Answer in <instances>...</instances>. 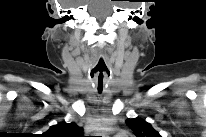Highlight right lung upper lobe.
<instances>
[{
    "instance_id": "obj_1",
    "label": "right lung upper lobe",
    "mask_w": 206,
    "mask_h": 137,
    "mask_svg": "<svg viewBox=\"0 0 206 137\" xmlns=\"http://www.w3.org/2000/svg\"><path fill=\"white\" fill-rule=\"evenodd\" d=\"M81 134V128L75 123L60 122L57 125H53L45 133L49 137H75Z\"/></svg>"
}]
</instances>
